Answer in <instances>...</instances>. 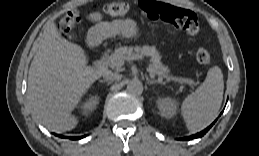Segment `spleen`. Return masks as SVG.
I'll list each match as a JSON object with an SVG mask.
<instances>
[{"instance_id": "obj_1", "label": "spleen", "mask_w": 259, "mask_h": 156, "mask_svg": "<svg viewBox=\"0 0 259 156\" xmlns=\"http://www.w3.org/2000/svg\"><path fill=\"white\" fill-rule=\"evenodd\" d=\"M224 81L221 69L212 67L205 81L181 104V115L190 131L208 126L217 116L223 99Z\"/></svg>"}]
</instances>
